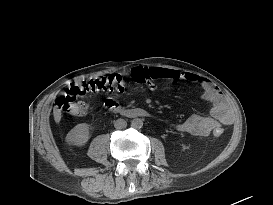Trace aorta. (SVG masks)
<instances>
[{
	"instance_id": "1",
	"label": "aorta",
	"mask_w": 273,
	"mask_h": 205,
	"mask_svg": "<svg viewBox=\"0 0 273 205\" xmlns=\"http://www.w3.org/2000/svg\"><path fill=\"white\" fill-rule=\"evenodd\" d=\"M131 126L135 129H140L143 126V121L140 118H135L131 121Z\"/></svg>"
}]
</instances>
